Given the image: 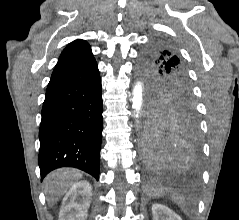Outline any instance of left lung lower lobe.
Segmentation results:
<instances>
[{
  "label": "left lung lower lobe",
  "mask_w": 239,
  "mask_h": 220,
  "mask_svg": "<svg viewBox=\"0 0 239 220\" xmlns=\"http://www.w3.org/2000/svg\"><path fill=\"white\" fill-rule=\"evenodd\" d=\"M199 145L194 112H158L147 121L142 153L152 169L188 165L197 160Z\"/></svg>",
  "instance_id": "left-lung-lower-lobe-1"
}]
</instances>
